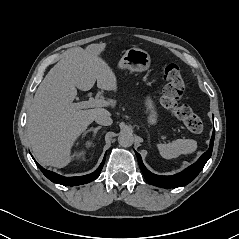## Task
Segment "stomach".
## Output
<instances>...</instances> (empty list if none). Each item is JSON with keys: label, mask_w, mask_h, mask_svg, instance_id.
I'll return each instance as SVG.
<instances>
[{"label": "stomach", "mask_w": 239, "mask_h": 239, "mask_svg": "<svg viewBox=\"0 0 239 239\" xmlns=\"http://www.w3.org/2000/svg\"><path fill=\"white\" fill-rule=\"evenodd\" d=\"M151 64V57L148 52L140 48L128 49L121 60L119 61V68L128 69L132 72H142L149 69ZM144 105L148 112L147 121L150 125L157 123L158 113L156 104L150 95L144 98Z\"/></svg>", "instance_id": "obj_1"}]
</instances>
